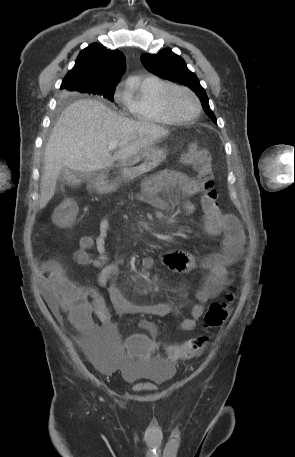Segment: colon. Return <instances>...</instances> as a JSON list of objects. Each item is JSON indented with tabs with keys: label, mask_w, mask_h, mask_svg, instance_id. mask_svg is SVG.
<instances>
[{
	"label": "colon",
	"mask_w": 295,
	"mask_h": 457,
	"mask_svg": "<svg viewBox=\"0 0 295 457\" xmlns=\"http://www.w3.org/2000/svg\"><path fill=\"white\" fill-rule=\"evenodd\" d=\"M181 160L184 164L192 165L197 171L202 201L214 208H218L210 154L205 150L199 149L195 144H191L182 155ZM76 216V205L72 202H63L57 207L53 219L57 225L65 227L70 225L76 219ZM43 273L53 279L52 288L59 305L68 312L70 319L77 320L82 310V289L69 280L62 267L54 261L44 263ZM232 300L233 294L229 293L225 301L210 304L204 316L206 328H217L224 324L229 314L228 303ZM125 339L126 341L122 342L120 349V356L123 361L134 363L158 359V352L155 351L156 342L150 341L149 330H130V333H126ZM207 340L208 336L202 334L181 345L173 346L166 351V360L192 358L202 351Z\"/></svg>",
	"instance_id": "1"
}]
</instances>
